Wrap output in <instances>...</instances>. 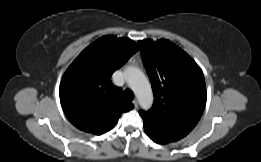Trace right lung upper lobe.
Returning <instances> with one entry per match:
<instances>
[{
    "instance_id": "1",
    "label": "right lung upper lobe",
    "mask_w": 261,
    "mask_h": 162,
    "mask_svg": "<svg viewBox=\"0 0 261 162\" xmlns=\"http://www.w3.org/2000/svg\"><path fill=\"white\" fill-rule=\"evenodd\" d=\"M137 51L136 43L128 38L103 36L69 66L60 84V101L75 127L100 135L112 129L123 112L134 108L111 83V75Z\"/></svg>"
}]
</instances>
